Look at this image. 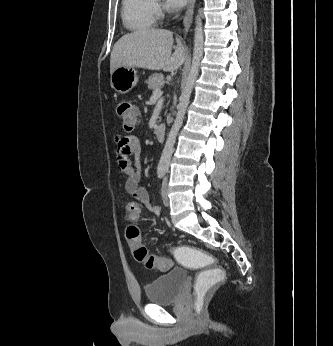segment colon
I'll return each mask as SVG.
<instances>
[{
  "label": "colon",
  "instance_id": "colon-1",
  "mask_svg": "<svg viewBox=\"0 0 333 346\" xmlns=\"http://www.w3.org/2000/svg\"><path fill=\"white\" fill-rule=\"evenodd\" d=\"M117 113L126 132L133 130L137 123V111L135 106L129 101H122L117 106ZM139 210L136 203L131 202L126 209V217L129 221L135 222L138 219ZM126 236L129 246L132 249L135 260L142 263L147 269L165 272L169 270L173 261L179 268H190L191 271H203L197 275L194 281V294L196 296V308L203 307L204 301L201 296L209 288H222L223 280H227L225 269H220L219 265L215 269H209L210 264L214 263V258L203 252V249H193L190 244H181L180 249L173 248L171 259L151 254L147 247L140 240V231L137 226L130 225L127 228ZM211 291L210 289L208 290Z\"/></svg>",
  "mask_w": 333,
  "mask_h": 346
}]
</instances>
